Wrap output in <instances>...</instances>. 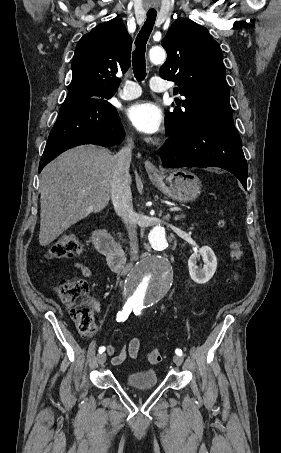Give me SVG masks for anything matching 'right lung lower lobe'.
<instances>
[{"label":"right lung lower lobe","mask_w":281,"mask_h":453,"mask_svg":"<svg viewBox=\"0 0 281 453\" xmlns=\"http://www.w3.org/2000/svg\"><path fill=\"white\" fill-rule=\"evenodd\" d=\"M124 128L108 101H64L39 164V172L59 154L77 145L119 144Z\"/></svg>","instance_id":"1"}]
</instances>
